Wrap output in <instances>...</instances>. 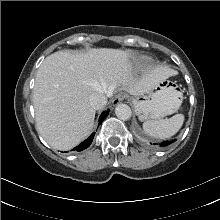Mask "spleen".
<instances>
[{"instance_id":"obj_1","label":"spleen","mask_w":220,"mask_h":220,"mask_svg":"<svg viewBox=\"0 0 220 220\" xmlns=\"http://www.w3.org/2000/svg\"><path fill=\"white\" fill-rule=\"evenodd\" d=\"M183 122L184 115L176 114L168 119L145 121L143 123V129L146 134L152 137L166 139L175 135L182 127Z\"/></svg>"}]
</instances>
